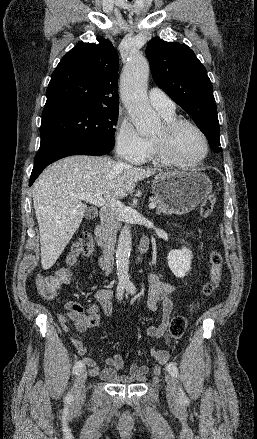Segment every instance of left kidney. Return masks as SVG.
Here are the masks:
<instances>
[{"label":"left kidney","mask_w":257,"mask_h":439,"mask_svg":"<svg viewBox=\"0 0 257 439\" xmlns=\"http://www.w3.org/2000/svg\"><path fill=\"white\" fill-rule=\"evenodd\" d=\"M192 252L183 247L179 250H172L167 256L169 268L178 278H183L191 270Z\"/></svg>","instance_id":"5707ae66"}]
</instances>
